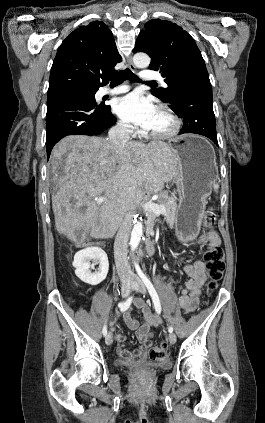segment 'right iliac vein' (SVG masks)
Here are the masks:
<instances>
[{
  "label": "right iliac vein",
  "mask_w": 265,
  "mask_h": 423,
  "mask_svg": "<svg viewBox=\"0 0 265 423\" xmlns=\"http://www.w3.org/2000/svg\"><path fill=\"white\" fill-rule=\"evenodd\" d=\"M132 287V283L129 280L123 281L121 286V296L127 297L130 294ZM105 342L107 345H111L113 342V335L111 333H108L105 338Z\"/></svg>",
  "instance_id": "right-iliac-vein-1"
}]
</instances>
